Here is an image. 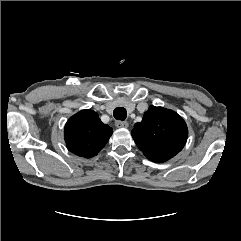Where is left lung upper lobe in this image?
<instances>
[{
	"mask_svg": "<svg viewBox=\"0 0 241 241\" xmlns=\"http://www.w3.org/2000/svg\"><path fill=\"white\" fill-rule=\"evenodd\" d=\"M131 135L144 155L151 161H167L184 147L188 129L176 112L150 106Z\"/></svg>",
	"mask_w": 241,
	"mask_h": 241,
	"instance_id": "left-lung-upper-lobe-1",
	"label": "left lung upper lobe"
}]
</instances>
